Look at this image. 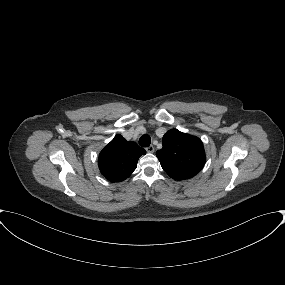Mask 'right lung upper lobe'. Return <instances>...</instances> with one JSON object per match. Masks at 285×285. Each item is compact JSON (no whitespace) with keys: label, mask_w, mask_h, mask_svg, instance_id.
<instances>
[{"label":"right lung upper lobe","mask_w":285,"mask_h":285,"mask_svg":"<svg viewBox=\"0 0 285 285\" xmlns=\"http://www.w3.org/2000/svg\"><path fill=\"white\" fill-rule=\"evenodd\" d=\"M144 154L146 151L135 142L118 134L99 154L100 172L111 182L123 181L136 169L139 157Z\"/></svg>","instance_id":"cb5924a9"}]
</instances>
